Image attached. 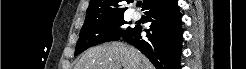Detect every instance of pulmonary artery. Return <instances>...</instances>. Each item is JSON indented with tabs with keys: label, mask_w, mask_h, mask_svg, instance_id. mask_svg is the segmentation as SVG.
<instances>
[{
	"label": "pulmonary artery",
	"mask_w": 246,
	"mask_h": 69,
	"mask_svg": "<svg viewBox=\"0 0 246 69\" xmlns=\"http://www.w3.org/2000/svg\"><path fill=\"white\" fill-rule=\"evenodd\" d=\"M140 16H141V14H140V12H138V11H134L133 13H132V17L134 18V19H139L140 18Z\"/></svg>",
	"instance_id": "pulmonary-artery-1"
}]
</instances>
